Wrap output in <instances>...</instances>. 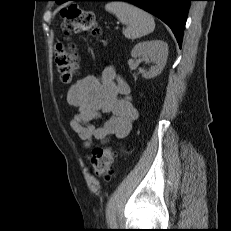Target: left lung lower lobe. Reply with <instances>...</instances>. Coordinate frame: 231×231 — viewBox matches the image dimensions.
<instances>
[{
  "instance_id": "1",
  "label": "left lung lower lobe",
  "mask_w": 231,
  "mask_h": 231,
  "mask_svg": "<svg viewBox=\"0 0 231 231\" xmlns=\"http://www.w3.org/2000/svg\"><path fill=\"white\" fill-rule=\"evenodd\" d=\"M69 1L63 0L62 3ZM85 1H126L155 15L173 31L179 46L182 45L183 31L192 0H85Z\"/></svg>"
}]
</instances>
